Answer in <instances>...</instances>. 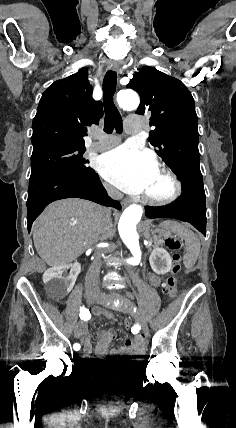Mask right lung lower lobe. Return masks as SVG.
<instances>
[{"mask_svg":"<svg viewBox=\"0 0 236 428\" xmlns=\"http://www.w3.org/2000/svg\"><path fill=\"white\" fill-rule=\"evenodd\" d=\"M82 198L118 210L121 205L112 200L104 189L98 174L93 169L74 173L59 172L29 182L27 200L28 231L33 221L51 202L64 198Z\"/></svg>","mask_w":236,"mask_h":428,"instance_id":"obj_1","label":"right lung lower lobe"}]
</instances>
